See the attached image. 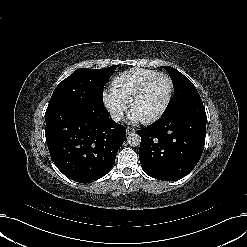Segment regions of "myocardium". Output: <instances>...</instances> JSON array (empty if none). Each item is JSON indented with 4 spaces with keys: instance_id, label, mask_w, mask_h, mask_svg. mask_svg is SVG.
Instances as JSON below:
<instances>
[{
    "instance_id": "myocardium-1",
    "label": "myocardium",
    "mask_w": 247,
    "mask_h": 247,
    "mask_svg": "<svg viewBox=\"0 0 247 247\" xmlns=\"http://www.w3.org/2000/svg\"><path fill=\"white\" fill-rule=\"evenodd\" d=\"M165 79L168 85V92H167V96L166 99L162 105V107L160 108V110L148 117H141V121H143L144 123H151L153 121H155L156 119L160 118L168 109L172 97H173V83L170 79V77L165 74V73H158L155 76L149 78L147 81H145L139 88L138 90L135 92V94L133 95V97L131 98V100L129 101V111L130 113H134V106L136 104V102L140 99V97L142 96V94L144 93V91L152 84L154 83L156 80L158 79Z\"/></svg>"
}]
</instances>
